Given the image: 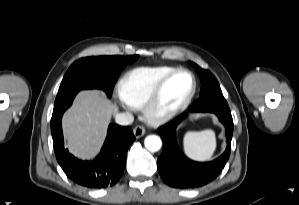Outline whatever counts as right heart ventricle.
I'll use <instances>...</instances> for the list:
<instances>
[{
    "label": "right heart ventricle",
    "mask_w": 299,
    "mask_h": 205,
    "mask_svg": "<svg viewBox=\"0 0 299 205\" xmlns=\"http://www.w3.org/2000/svg\"><path fill=\"white\" fill-rule=\"evenodd\" d=\"M176 68L170 66L137 67L119 81L118 95L127 106L143 108L160 81Z\"/></svg>",
    "instance_id": "right-heart-ventricle-1"
}]
</instances>
